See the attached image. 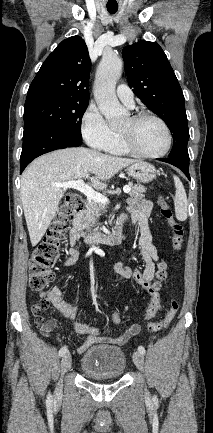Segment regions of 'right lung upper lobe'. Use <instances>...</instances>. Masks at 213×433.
Instances as JSON below:
<instances>
[{
    "mask_svg": "<svg viewBox=\"0 0 213 433\" xmlns=\"http://www.w3.org/2000/svg\"><path fill=\"white\" fill-rule=\"evenodd\" d=\"M90 65L84 40L79 36L65 39L42 64L27 98L56 96L89 100Z\"/></svg>",
    "mask_w": 213,
    "mask_h": 433,
    "instance_id": "right-lung-upper-lobe-1",
    "label": "right lung upper lobe"
}]
</instances>
